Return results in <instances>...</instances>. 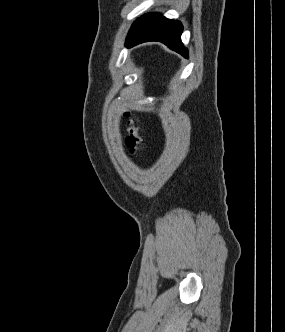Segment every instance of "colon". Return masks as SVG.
Masks as SVG:
<instances>
[{"label": "colon", "instance_id": "colon-1", "mask_svg": "<svg viewBox=\"0 0 285 332\" xmlns=\"http://www.w3.org/2000/svg\"><path fill=\"white\" fill-rule=\"evenodd\" d=\"M141 143L142 137L140 135L138 126L133 120L128 119V135L126 137L125 144L129 154H137L140 149Z\"/></svg>", "mask_w": 285, "mask_h": 332}]
</instances>
